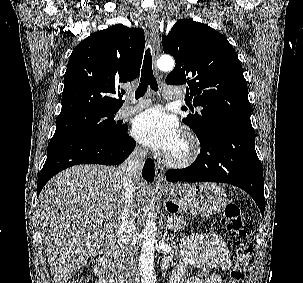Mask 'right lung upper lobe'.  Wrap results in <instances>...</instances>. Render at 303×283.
Returning <instances> with one entry per match:
<instances>
[{
    "mask_svg": "<svg viewBox=\"0 0 303 283\" xmlns=\"http://www.w3.org/2000/svg\"><path fill=\"white\" fill-rule=\"evenodd\" d=\"M144 47L142 29L122 24L93 33L79 43L68 61L59 116L87 110L118 111L124 102L119 83L137 77Z\"/></svg>",
    "mask_w": 303,
    "mask_h": 283,
    "instance_id": "right-lung-upper-lobe-1",
    "label": "right lung upper lobe"
}]
</instances>
